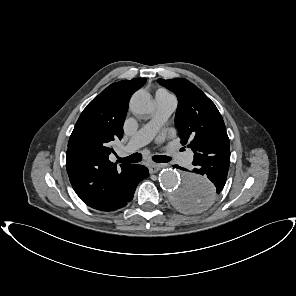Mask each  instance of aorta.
Returning a JSON list of instances; mask_svg holds the SVG:
<instances>
[{"mask_svg": "<svg viewBox=\"0 0 296 296\" xmlns=\"http://www.w3.org/2000/svg\"><path fill=\"white\" fill-rule=\"evenodd\" d=\"M130 108L138 115H148L152 109L150 94L144 90L135 92ZM159 182L167 201L186 212L207 211L218 198V189L212 179L188 170L163 169L159 174Z\"/></svg>", "mask_w": 296, "mask_h": 296, "instance_id": "762f6f07", "label": "aorta"}]
</instances>
